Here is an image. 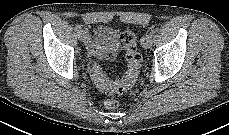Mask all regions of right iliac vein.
I'll list each match as a JSON object with an SVG mask.
<instances>
[{"mask_svg": "<svg viewBox=\"0 0 229 135\" xmlns=\"http://www.w3.org/2000/svg\"><path fill=\"white\" fill-rule=\"evenodd\" d=\"M78 38L81 42H85L87 41V39L89 38V33L87 30H82L79 32L78 34Z\"/></svg>", "mask_w": 229, "mask_h": 135, "instance_id": "1", "label": "right iliac vein"}]
</instances>
